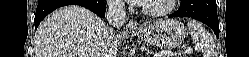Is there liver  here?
<instances>
[{
	"label": "liver",
	"instance_id": "6515ba94",
	"mask_svg": "<svg viewBox=\"0 0 249 57\" xmlns=\"http://www.w3.org/2000/svg\"><path fill=\"white\" fill-rule=\"evenodd\" d=\"M108 28L90 10L68 5L54 11L35 35L34 57H116L104 39ZM121 35H118L117 45Z\"/></svg>",
	"mask_w": 249,
	"mask_h": 57
}]
</instances>
